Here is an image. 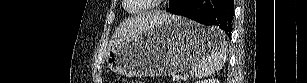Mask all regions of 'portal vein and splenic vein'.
Listing matches in <instances>:
<instances>
[{"instance_id":"18ae733b","label":"portal vein and splenic vein","mask_w":307,"mask_h":83,"mask_svg":"<svg viewBox=\"0 0 307 83\" xmlns=\"http://www.w3.org/2000/svg\"><path fill=\"white\" fill-rule=\"evenodd\" d=\"M173 79L178 81V80L181 79V76L179 74L178 75H174Z\"/></svg>"}]
</instances>
